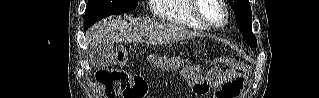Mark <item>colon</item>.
Wrapping results in <instances>:
<instances>
[{
	"mask_svg": "<svg viewBox=\"0 0 319 98\" xmlns=\"http://www.w3.org/2000/svg\"><path fill=\"white\" fill-rule=\"evenodd\" d=\"M128 55L123 47L116 50V63L124 64ZM150 61L158 68L173 69L180 66L177 58L151 57ZM222 63L234 66L238 65L231 58L223 57ZM210 86L220 84L212 98H235L237 97L244 84L243 75L237 70L221 72L212 70L207 75ZM95 86L102 98H143L146 93V83L140 76L130 75L123 70L103 69L99 70L95 77Z\"/></svg>",
	"mask_w": 319,
	"mask_h": 98,
	"instance_id": "5ec220e1",
	"label": "colon"
}]
</instances>
